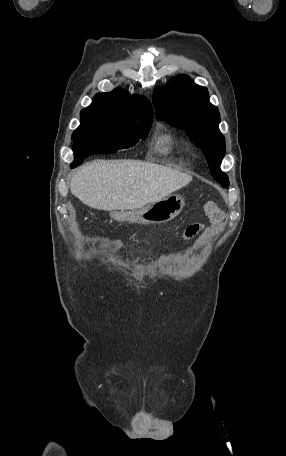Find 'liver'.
Instances as JSON below:
<instances>
[{"mask_svg": "<svg viewBox=\"0 0 286 456\" xmlns=\"http://www.w3.org/2000/svg\"><path fill=\"white\" fill-rule=\"evenodd\" d=\"M192 176L142 161H93L77 171L71 193L99 210H132L157 202L185 187Z\"/></svg>", "mask_w": 286, "mask_h": 456, "instance_id": "6515ba94", "label": "liver"}]
</instances>
